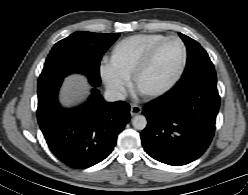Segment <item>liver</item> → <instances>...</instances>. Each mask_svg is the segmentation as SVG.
I'll return each instance as SVG.
<instances>
[{
  "label": "liver",
  "instance_id": "obj_1",
  "mask_svg": "<svg viewBox=\"0 0 248 195\" xmlns=\"http://www.w3.org/2000/svg\"><path fill=\"white\" fill-rule=\"evenodd\" d=\"M89 94L87 79L80 74H72L65 78L60 100L64 106H72L83 100Z\"/></svg>",
  "mask_w": 248,
  "mask_h": 195
}]
</instances>
